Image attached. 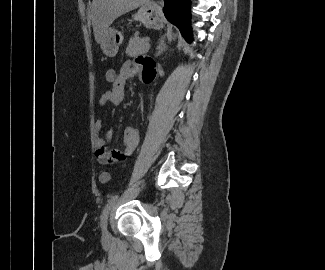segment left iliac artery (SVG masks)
Wrapping results in <instances>:
<instances>
[{
    "instance_id": "left-iliac-artery-1",
    "label": "left iliac artery",
    "mask_w": 325,
    "mask_h": 270,
    "mask_svg": "<svg viewBox=\"0 0 325 270\" xmlns=\"http://www.w3.org/2000/svg\"><path fill=\"white\" fill-rule=\"evenodd\" d=\"M118 195H114L112 196L109 200H108V203L106 204V206L104 207L103 211H102V214L100 216V225H101V228L103 230L106 229L107 227V220H108V215H109V211L112 207V205L115 203V201L118 199Z\"/></svg>"
}]
</instances>
